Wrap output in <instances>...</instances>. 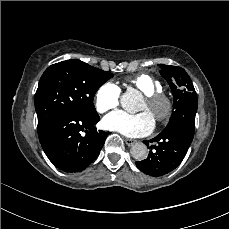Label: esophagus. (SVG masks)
<instances>
[{
    "mask_svg": "<svg viewBox=\"0 0 229 229\" xmlns=\"http://www.w3.org/2000/svg\"><path fill=\"white\" fill-rule=\"evenodd\" d=\"M136 142H137L136 139H130V138L125 139V143L127 146H133Z\"/></svg>",
    "mask_w": 229,
    "mask_h": 229,
    "instance_id": "esophagus-1",
    "label": "esophagus"
}]
</instances>
